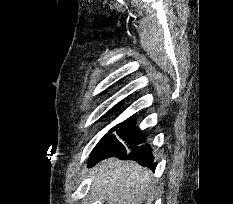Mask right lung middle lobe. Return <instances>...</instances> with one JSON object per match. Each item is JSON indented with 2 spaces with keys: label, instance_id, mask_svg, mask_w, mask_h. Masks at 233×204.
Wrapping results in <instances>:
<instances>
[{
  "label": "right lung middle lobe",
  "instance_id": "1",
  "mask_svg": "<svg viewBox=\"0 0 233 204\" xmlns=\"http://www.w3.org/2000/svg\"><path fill=\"white\" fill-rule=\"evenodd\" d=\"M116 132L113 134L112 132ZM146 142L145 136L135 127L134 120H125L123 123L113 127L108 134L99 141L97 147L109 151L129 150Z\"/></svg>",
  "mask_w": 233,
  "mask_h": 204
}]
</instances>
